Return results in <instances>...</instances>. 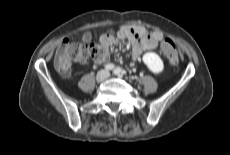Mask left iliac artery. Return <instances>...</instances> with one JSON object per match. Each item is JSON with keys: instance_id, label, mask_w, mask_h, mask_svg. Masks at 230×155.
<instances>
[{"instance_id": "1", "label": "left iliac artery", "mask_w": 230, "mask_h": 155, "mask_svg": "<svg viewBox=\"0 0 230 155\" xmlns=\"http://www.w3.org/2000/svg\"><path fill=\"white\" fill-rule=\"evenodd\" d=\"M114 74L123 75V74H125V71L122 70L120 67H117L116 69H114Z\"/></svg>"}]
</instances>
